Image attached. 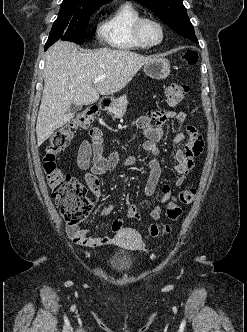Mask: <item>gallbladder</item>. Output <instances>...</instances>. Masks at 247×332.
Masks as SVG:
<instances>
[{
    "mask_svg": "<svg viewBox=\"0 0 247 332\" xmlns=\"http://www.w3.org/2000/svg\"><path fill=\"white\" fill-rule=\"evenodd\" d=\"M80 108H81V106L76 105V104H72V105L70 106L69 111H70L71 113H75V112H77L78 110H80Z\"/></svg>",
    "mask_w": 247,
    "mask_h": 332,
    "instance_id": "obj_1",
    "label": "gallbladder"
}]
</instances>
